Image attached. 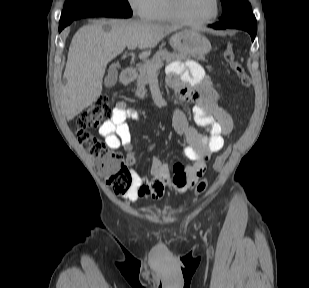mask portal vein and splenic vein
Instances as JSON below:
<instances>
[{"label": "portal vein and splenic vein", "mask_w": 309, "mask_h": 288, "mask_svg": "<svg viewBox=\"0 0 309 288\" xmlns=\"http://www.w3.org/2000/svg\"><path fill=\"white\" fill-rule=\"evenodd\" d=\"M128 49H129V50H133V49H135V47L131 46V47H128ZM162 65H163V64H159V65L156 66V68L150 69V74H151V75H155V74H156V71H157L158 69H160V68L162 67Z\"/></svg>", "instance_id": "18ae733b"}]
</instances>
